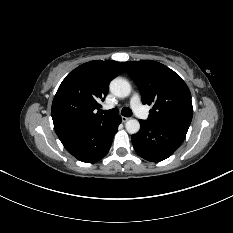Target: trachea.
I'll return each instance as SVG.
<instances>
[{
  "mask_svg": "<svg viewBox=\"0 0 233 233\" xmlns=\"http://www.w3.org/2000/svg\"><path fill=\"white\" fill-rule=\"evenodd\" d=\"M103 113L108 116H115L119 113V110L117 108H113L107 111H103ZM121 113L125 117H130L132 115V110L128 107H125L122 109Z\"/></svg>",
  "mask_w": 233,
  "mask_h": 233,
  "instance_id": "trachea-1",
  "label": "trachea"
}]
</instances>
